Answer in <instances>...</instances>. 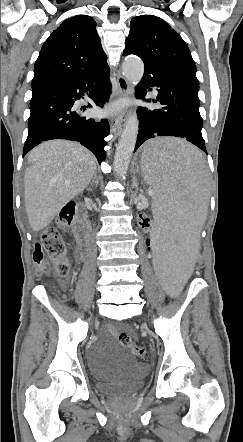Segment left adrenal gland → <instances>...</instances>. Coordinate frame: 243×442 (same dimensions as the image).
<instances>
[{
	"label": "left adrenal gland",
	"instance_id": "1",
	"mask_svg": "<svg viewBox=\"0 0 243 442\" xmlns=\"http://www.w3.org/2000/svg\"><path fill=\"white\" fill-rule=\"evenodd\" d=\"M133 187L138 188V182L135 175L133 176Z\"/></svg>",
	"mask_w": 243,
	"mask_h": 442
}]
</instances>
